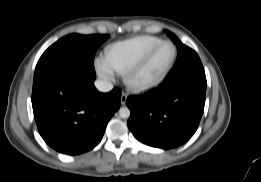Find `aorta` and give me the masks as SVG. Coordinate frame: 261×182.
Here are the masks:
<instances>
[{"mask_svg": "<svg viewBox=\"0 0 261 182\" xmlns=\"http://www.w3.org/2000/svg\"><path fill=\"white\" fill-rule=\"evenodd\" d=\"M119 116L121 118H129L130 117V110L128 107H122L119 109Z\"/></svg>", "mask_w": 261, "mask_h": 182, "instance_id": "aorta-1", "label": "aorta"}]
</instances>
